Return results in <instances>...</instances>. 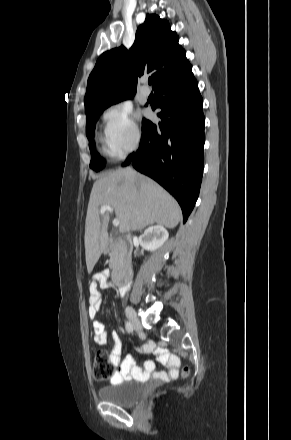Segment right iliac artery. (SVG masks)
<instances>
[{
	"label": "right iliac artery",
	"instance_id": "1",
	"mask_svg": "<svg viewBox=\"0 0 291 440\" xmlns=\"http://www.w3.org/2000/svg\"><path fill=\"white\" fill-rule=\"evenodd\" d=\"M125 328H126L127 332H129V333H131L133 331V326L128 321L125 322Z\"/></svg>",
	"mask_w": 291,
	"mask_h": 440
}]
</instances>
